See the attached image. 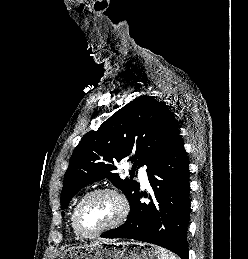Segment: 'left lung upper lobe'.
Wrapping results in <instances>:
<instances>
[{
    "mask_svg": "<svg viewBox=\"0 0 248 259\" xmlns=\"http://www.w3.org/2000/svg\"><path fill=\"white\" fill-rule=\"evenodd\" d=\"M181 142L176 119L167 106L150 96L138 97L114 113L98 130L82 137L64 176L61 208L65 209L81 188L104 178L120 188L130 203L139 193V183L132 178L122 180L114 172L115 163L133 161V171L137 165H146L148 173Z\"/></svg>",
    "mask_w": 248,
    "mask_h": 259,
    "instance_id": "left-lung-upper-lobe-1",
    "label": "left lung upper lobe"
}]
</instances>
